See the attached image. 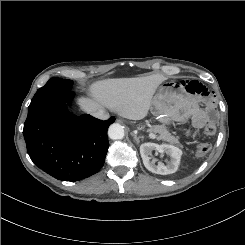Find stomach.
Segmentation results:
<instances>
[{"label":"stomach","instance_id":"0dacf381","mask_svg":"<svg viewBox=\"0 0 245 245\" xmlns=\"http://www.w3.org/2000/svg\"><path fill=\"white\" fill-rule=\"evenodd\" d=\"M151 112L159 116L164 124L185 123L191 116L186 91L180 89L176 83H162L152 99Z\"/></svg>","mask_w":245,"mask_h":245}]
</instances>
